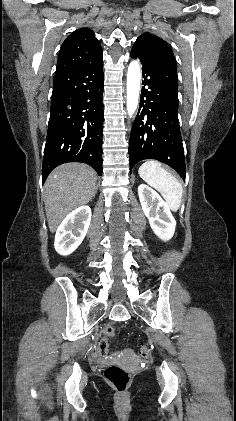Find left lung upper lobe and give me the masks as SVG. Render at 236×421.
Segmentation results:
<instances>
[{
	"mask_svg": "<svg viewBox=\"0 0 236 421\" xmlns=\"http://www.w3.org/2000/svg\"><path fill=\"white\" fill-rule=\"evenodd\" d=\"M133 47H137L143 52L164 55L176 64L174 54L169 44L156 35H152L148 32L140 35Z\"/></svg>",
	"mask_w": 236,
	"mask_h": 421,
	"instance_id": "1",
	"label": "left lung upper lobe"
}]
</instances>
